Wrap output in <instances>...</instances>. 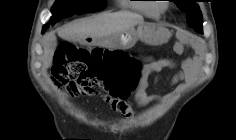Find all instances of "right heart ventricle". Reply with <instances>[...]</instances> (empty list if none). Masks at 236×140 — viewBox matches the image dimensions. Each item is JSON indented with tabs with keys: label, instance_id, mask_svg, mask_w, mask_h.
Instances as JSON below:
<instances>
[{
	"label": "right heart ventricle",
	"instance_id": "1",
	"mask_svg": "<svg viewBox=\"0 0 236 140\" xmlns=\"http://www.w3.org/2000/svg\"><path fill=\"white\" fill-rule=\"evenodd\" d=\"M150 1L153 0H122L121 7L136 11L147 17H156L159 15L158 6Z\"/></svg>",
	"mask_w": 236,
	"mask_h": 140
}]
</instances>
